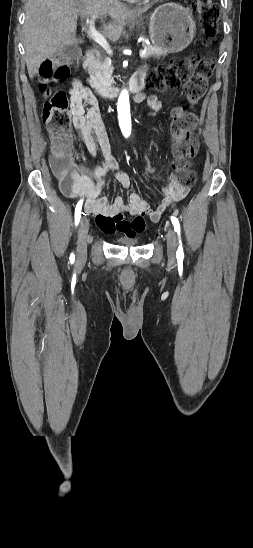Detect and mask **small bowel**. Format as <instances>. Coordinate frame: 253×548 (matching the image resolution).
<instances>
[{
  "label": "small bowel",
  "mask_w": 253,
  "mask_h": 548,
  "mask_svg": "<svg viewBox=\"0 0 253 548\" xmlns=\"http://www.w3.org/2000/svg\"><path fill=\"white\" fill-rule=\"evenodd\" d=\"M144 74L143 69L136 73L143 77ZM135 100L145 102L154 111L161 107V103L153 95L138 94ZM85 104L89 105L87 109ZM70 105L74 127L92 156L96 155L98 146L101 148L104 154V165L93 168L85 165L75 166V172L69 181L67 183L60 181V189L70 198L83 197L85 212L96 216V223L104 233H122L126 236L140 234L145 230L146 214L152 221H158L169 205L187 196L190 188L182 185L172 174L168 187L169 196L164 198L155 209H152L149 203L135 192L129 193L126 200L118 196L114 201H110L102 195L111 173L115 181L124 189L130 187V177L125 172L119 171V164L111 153L109 138L101 119L96 97L78 80L72 83ZM124 213L134 216V219L128 221Z\"/></svg>",
  "instance_id": "small-bowel-1"
}]
</instances>
